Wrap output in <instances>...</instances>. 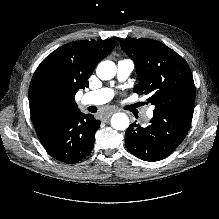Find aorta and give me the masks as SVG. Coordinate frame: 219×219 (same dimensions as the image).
Here are the masks:
<instances>
[{
	"label": "aorta",
	"instance_id": "aorta-1",
	"mask_svg": "<svg viewBox=\"0 0 219 219\" xmlns=\"http://www.w3.org/2000/svg\"><path fill=\"white\" fill-rule=\"evenodd\" d=\"M116 65L114 62L105 60L98 64L96 74L101 80H111L116 75ZM111 126L115 130H126L129 127V118L125 113H115L111 118Z\"/></svg>",
	"mask_w": 219,
	"mask_h": 219
}]
</instances>
